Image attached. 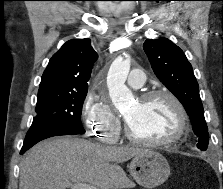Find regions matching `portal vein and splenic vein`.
<instances>
[{
    "mask_svg": "<svg viewBox=\"0 0 223 189\" xmlns=\"http://www.w3.org/2000/svg\"><path fill=\"white\" fill-rule=\"evenodd\" d=\"M68 186L71 189H97V187H95V186H93L91 184H86V183H83V184L68 183Z\"/></svg>",
    "mask_w": 223,
    "mask_h": 189,
    "instance_id": "portal-vein-and-splenic-vein-1",
    "label": "portal vein and splenic vein"
}]
</instances>
